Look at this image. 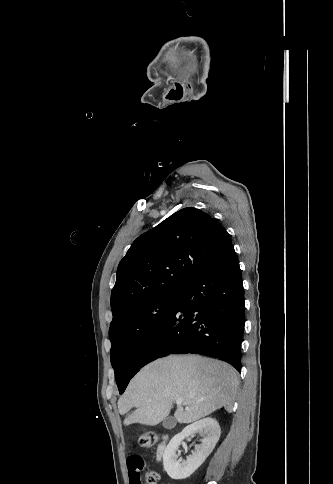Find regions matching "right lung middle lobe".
I'll use <instances>...</instances> for the list:
<instances>
[{
	"instance_id": "right-lung-middle-lobe-1",
	"label": "right lung middle lobe",
	"mask_w": 333,
	"mask_h": 484,
	"mask_svg": "<svg viewBox=\"0 0 333 484\" xmlns=\"http://www.w3.org/2000/svg\"><path fill=\"white\" fill-rule=\"evenodd\" d=\"M178 294L177 290L155 296L110 324L111 363L120 394L131 379L142 347L172 310Z\"/></svg>"
}]
</instances>
